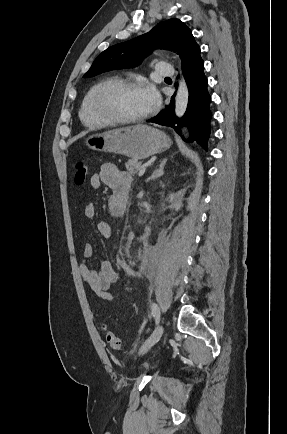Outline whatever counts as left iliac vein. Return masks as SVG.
I'll list each match as a JSON object with an SVG mask.
<instances>
[{
	"instance_id": "4c4485c4",
	"label": "left iliac vein",
	"mask_w": 287,
	"mask_h": 434,
	"mask_svg": "<svg viewBox=\"0 0 287 434\" xmlns=\"http://www.w3.org/2000/svg\"><path fill=\"white\" fill-rule=\"evenodd\" d=\"M164 332L163 325H159L149 339L143 344L140 354L144 355L149 352V350L159 341Z\"/></svg>"
}]
</instances>
